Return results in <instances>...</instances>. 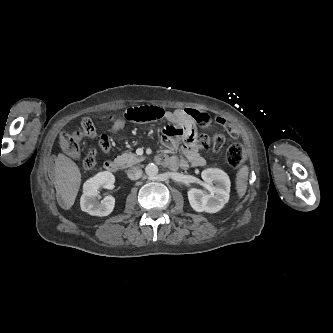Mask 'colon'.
<instances>
[{
  "label": "colon",
  "instance_id": "obj_1",
  "mask_svg": "<svg viewBox=\"0 0 333 333\" xmlns=\"http://www.w3.org/2000/svg\"><path fill=\"white\" fill-rule=\"evenodd\" d=\"M165 116V110L157 106H137L134 105L124 110L122 117L128 123L149 122L161 119ZM94 137L96 129L93 122L84 118L80 123V129L75 132H64L59 137V143L62 149L73 156L79 153V144L81 136ZM195 140L198 145L204 149L216 151L219 150L224 142L225 136L222 133H216L213 136H208L205 133L195 135ZM99 146L103 151H108L111 146L110 138L103 134L99 138ZM226 159L230 167L237 169L244 161V150L239 143L231 144L226 151ZM95 166V151L90 150L84 158V167L91 170Z\"/></svg>",
  "mask_w": 333,
  "mask_h": 333
}]
</instances>
